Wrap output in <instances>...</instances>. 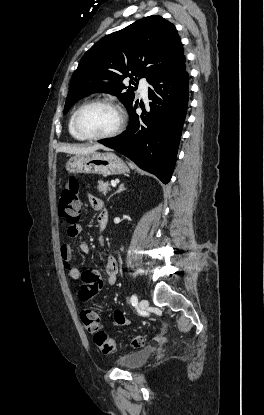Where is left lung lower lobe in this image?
Listing matches in <instances>:
<instances>
[{
  "label": "left lung lower lobe",
  "mask_w": 264,
  "mask_h": 415,
  "mask_svg": "<svg viewBox=\"0 0 264 415\" xmlns=\"http://www.w3.org/2000/svg\"><path fill=\"white\" fill-rule=\"evenodd\" d=\"M183 55L174 65L149 81V109L141 115L137 102L127 109L129 126L121 135L99 141L168 183L186 117L189 75Z\"/></svg>",
  "instance_id": "1"
}]
</instances>
